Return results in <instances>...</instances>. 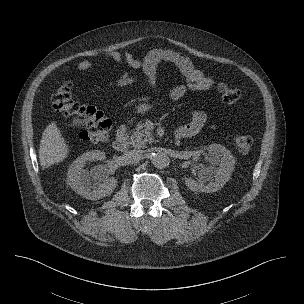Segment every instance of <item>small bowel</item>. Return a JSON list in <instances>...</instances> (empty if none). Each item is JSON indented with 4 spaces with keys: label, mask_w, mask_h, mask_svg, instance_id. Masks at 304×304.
I'll list each match as a JSON object with an SVG mask.
<instances>
[{
    "label": "small bowel",
    "mask_w": 304,
    "mask_h": 304,
    "mask_svg": "<svg viewBox=\"0 0 304 304\" xmlns=\"http://www.w3.org/2000/svg\"><path fill=\"white\" fill-rule=\"evenodd\" d=\"M106 57L114 62L126 61L130 66L141 69L145 74H153L160 63H171L184 76L186 83L174 87L170 92L173 100L182 98L187 90L204 91L211 89L215 81L207 76L202 70L196 68L193 62L186 55L170 49H153L146 56L139 60L129 52L121 54L117 51L109 52ZM94 66L91 60H84L77 65V70L85 71ZM206 122V114L200 110L191 112L189 123L181 126L177 132L183 137H191L197 134Z\"/></svg>",
    "instance_id": "small-bowel-1"
}]
</instances>
